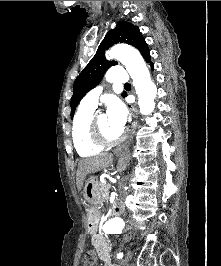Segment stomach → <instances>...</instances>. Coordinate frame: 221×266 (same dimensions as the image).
Listing matches in <instances>:
<instances>
[{
	"instance_id": "1",
	"label": "stomach",
	"mask_w": 221,
	"mask_h": 266,
	"mask_svg": "<svg viewBox=\"0 0 221 266\" xmlns=\"http://www.w3.org/2000/svg\"><path fill=\"white\" fill-rule=\"evenodd\" d=\"M82 196L91 205L88 209V226L94 228L99 215V207L103 202L100 182L97 177L90 176L86 180L82 190Z\"/></svg>"
}]
</instances>
